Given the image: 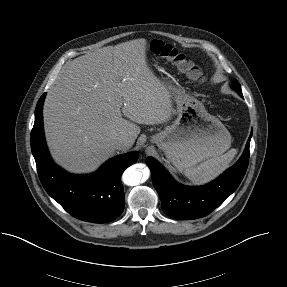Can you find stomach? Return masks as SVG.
I'll return each mask as SVG.
<instances>
[{
    "instance_id": "0dacf381",
    "label": "stomach",
    "mask_w": 287,
    "mask_h": 287,
    "mask_svg": "<svg viewBox=\"0 0 287 287\" xmlns=\"http://www.w3.org/2000/svg\"><path fill=\"white\" fill-rule=\"evenodd\" d=\"M176 102L175 121L155 134L151 142L161 149L180 171L201 161L222 155L231 146V135L224 124L208 113L202 102L183 89L165 84Z\"/></svg>"
}]
</instances>
